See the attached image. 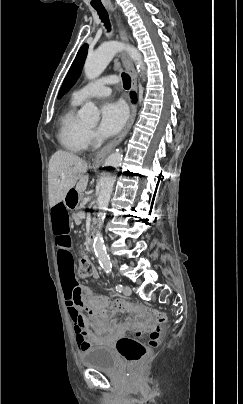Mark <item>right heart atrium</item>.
<instances>
[{
  "label": "right heart atrium",
  "mask_w": 243,
  "mask_h": 404,
  "mask_svg": "<svg viewBox=\"0 0 243 404\" xmlns=\"http://www.w3.org/2000/svg\"><path fill=\"white\" fill-rule=\"evenodd\" d=\"M86 141L90 147H97L100 143L98 136L91 130L87 131Z\"/></svg>",
  "instance_id": "obj_1"
}]
</instances>
